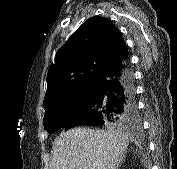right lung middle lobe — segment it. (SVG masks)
<instances>
[{
    "mask_svg": "<svg viewBox=\"0 0 177 169\" xmlns=\"http://www.w3.org/2000/svg\"><path fill=\"white\" fill-rule=\"evenodd\" d=\"M95 82H89L69 94L63 101L50 104L45 108L44 129L53 133L69 120L82 113L92 102L95 95Z\"/></svg>",
    "mask_w": 177,
    "mask_h": 169,
    "instance_id": "dd1d6c3e",
    "label": "right lung middle lobe"
}]
</instances>
